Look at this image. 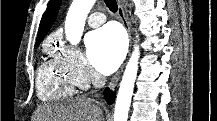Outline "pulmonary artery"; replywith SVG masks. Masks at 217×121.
<instances>
[{"label": "pulmonary artery", "instance_id": "obj_1", "mask_svg": "<svg viewBox=\"0 0 217 121\" xmlns=\"http://www.w3.org/2000/svg\"><path fill=\"white\" fill-rule=\"evenodd\" d=\"M105 15L101 12H94L88 18L89 26L96 28L105 22Z\"/></svg>", "mask_w": 217, "mask_h": 121}]
</instances>
